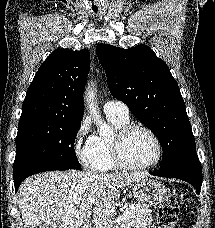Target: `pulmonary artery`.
Segmentation results:
<instances>
[{"mask_svg":"<svg viewBox=\"0 0 215 228\" xmlns=\"http://www.w3.org/2000/svg\"><path fill=\"white\" fill-rule=\"evenodd\" d=\"M104 111L106 114H117L124 118L129 117L128 106L125 103H123L121 101H117V100L107 101L104 104Z\"/></svg>","mask_w":215,"mask_h":228,"instance_id":"obj_1","label":"pulmonary artery"}]
</instances>
